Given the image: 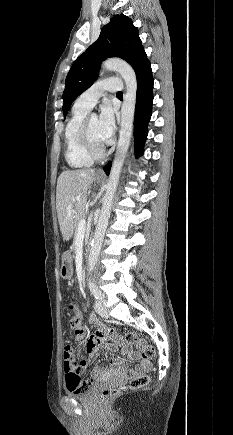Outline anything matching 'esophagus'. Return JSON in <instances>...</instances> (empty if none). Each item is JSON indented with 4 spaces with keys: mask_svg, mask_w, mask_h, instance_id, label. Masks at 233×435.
Segmentation results:
<instances>
[{
    "mask_svg": "<svg viewBox=\"0 0 233 435\" xmlns=\"http://www.w3.org/2000/svg\"><path fill=\"white\" fill-rule=\"evenodd\" d=\"M99 175H100V176H104V172H103V171H100V172H99Z\"/></svg>",
    "mask_w": 233,
    "mask_h": 435,
    "instance_id": "esophagus-1",
    "label": "esophagus"
}]
</instances>
